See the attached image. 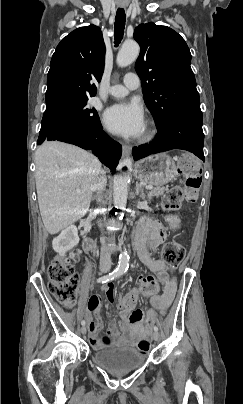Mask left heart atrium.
Returning a JSON list of instances; mask_svg holds the SVG:
<instances>
[{"label":"left heart atrium","mask_w":243,"mask_h":404,"mask_svg":"<svg viewBox=\"0 0 243 404\" xmlns=\"http://www.w3.org/2000/svg\"><path fill=\"white\" fill-rule=\"evenodd\" d=\"M104 127L111 133L137 139L146 130L144 111L137 100L123 101L108 107L102 115Z\"/></svg>","instance_id":"1"}]
</instances>
